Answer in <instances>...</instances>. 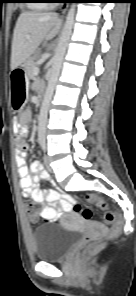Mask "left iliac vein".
<instances>
[{"label":"left iliac vein","instance_id":"obj_1","mask_svg":"<svg viewBox=\"0 0 136 296\" xmlns=\"http://www.w3.org/2000/svg\"><path fill=\"white\" fill-rule=\"evenodd\" d=\"M44 163H45V166L47 167V169H48L49 171H52V168H51V166H50L49 159H48L47 156L44 157Z\"/></svg>","mask_w":136,"mask_h":296}]
</instances>
